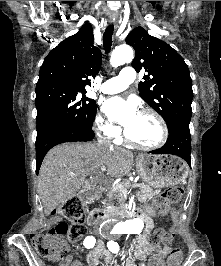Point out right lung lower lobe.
Wrapping results in <instances>:
<instances>
[{"label":"right lung lower lobe","instance_id":"right-lung-lower-lobe-1","mask_svg":"<svg viewBox=\"0 0 221 266\" xmlns=\"http://www.w3.org/2000/svg\"><path fill=\"white\" fill-rule=\"evenodd\" d=\"M95 134L92 128L79 124L64 123L56 125L36 138V174L46 153L54 146L64 142L90 141Z\"/></svg>","mask_w":221,"mask_h":266}]
</instances>
